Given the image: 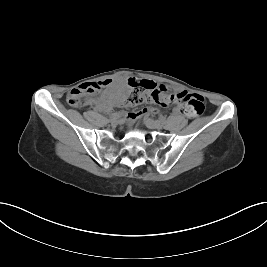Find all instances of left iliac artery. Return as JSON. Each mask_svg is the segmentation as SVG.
<instances>
[{
    "mask_svg": "<svg viewBox=\"0 0 267 267\" xmlns=\"http://www.w3.org/2000/svg\"><path fill=\"white\" fill-rule=\"evenodd\" d=\"M159 119L162 121V122H165L166 119L164 117H159Z\"/></svg>",
    "mask_w": 267,
    "mask_h": 267,
    "instance_id": "left-iliac-artery-1",
    "label": "left iliac artery"
}]
</instances>
